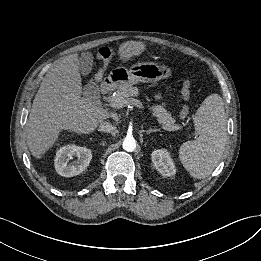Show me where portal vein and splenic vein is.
<instances>
[{"mask_svg":"<svg viewBox=\"0 0 261 261\" xmlns=\"http://www.w3.org/2000/svg\"><path fill=\"white\" fill-rule=\"evenodd\" d=\"M109 105L113 108H123L125 106H127V102L126 101H120V100H115V101H110ZM129 105H133L136 106L140 109H143V105L142 102H140L137 99H132L131 103Z\"/></svg>","mask_w":261,"mask_h":261,"instance_id":"1","label":"portal vein and splenic vein"}]
</instances>
